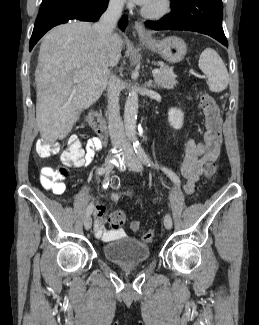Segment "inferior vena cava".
I'll return each mask as SVG.
<instances>
[{"label": "inferior vena cava", "instance_id": "1", "mask_svg": "<svg viewBox=\"0 0 259 325\" xmlns=\"http://www.w3.org/2000/svg\"><path fill=\"white\" fill-rule=\"evenodd\" d=\"M125 0H111L107 10L93 26L99 33L105 46H108L110 37L121 17ZM108 129L112 145L114 147H129L124 133V127L120 116L119 91L114 75H109L107 87Z\"/></svg>", "mask_w": 259, "mask_h": 325}]
</instances>
